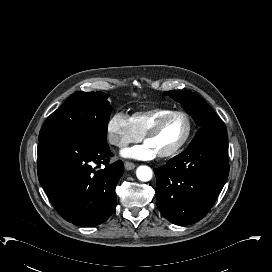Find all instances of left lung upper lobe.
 <instances>
[{
  "label": "left lung upper lobe",
  "mask_w": 272,
  "mask_h": 272,
  "mask_svg": "<svg viewBox=\"0 0 272 272\" xmlns=\"http://www.w3.org/2000/svg\"><path fill=\"white\" fill-rule=\"evenodd\" d=\"M165 94L180 102L185 111L192 116L200 127L222 124L214 110L198 94L186 90L167 91Z\"/></svg>",
  "instance_id": "left-lung-upper-lobe-1"
}]
</instances>
